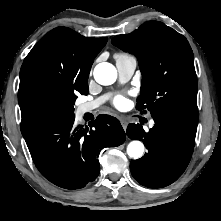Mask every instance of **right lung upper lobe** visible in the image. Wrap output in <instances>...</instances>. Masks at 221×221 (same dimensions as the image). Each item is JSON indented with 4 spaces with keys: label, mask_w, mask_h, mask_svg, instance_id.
<instances>
[{
    "label": "right lung upper lobe",
    "mask_w": 221,
    "mask_h": 221,
    "mask_svg": "<svg viewBox=\"0 0 221 221\" xmlns=\"http://www.w3.org/2000/svg\"><path fill=\"white\" fill-rule=\"evenodd\" d=\"M107 38H87L65 27L48 32L26 56L20 70L21 132L42 121L44 101L88 85L90 69Z\"/></svg>",
    "instance_id": "right-lung-upper-lobe-1"
}]
</instances>
